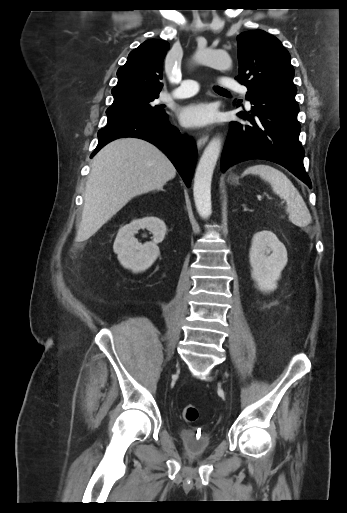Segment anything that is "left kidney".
Listing matches in <instances>:
<instances>
[{"label":"left kidney","instance_id":"1","mask_svg":"<svg viewBox=\"0 0 347 513\" xmlns=\"http://www.w3.org/2000/svg\"><path fill=\"white\" fill-rule=\"evenodd\" d=\"M251 276L259 289L270 293L277 288V280L287 264V250L271 231L254 234L249 251Z\"/></svg>","mask_w":347,"mask_h":513}]
</instances>
